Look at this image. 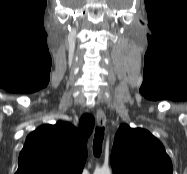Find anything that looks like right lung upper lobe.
I'll return each mask as SVG.
<instances>
[{
	"label": "right lung upper lobe",
	"instance_id": "cb5924a9",
	"mask_svg": "<svg viewBox=\"0 0 187 174\" xmlns=\"http://www.w3.org/2000/svg\"><path fill=\"white\" fill-rule=\"evenodd\" d=\"M89 127L68 122L42 125L27 136L15 174H82L87 157L85 139Z\"/></svg>",
	"mask_w": 187,
	"mask_h": 174
}]
</instances>
